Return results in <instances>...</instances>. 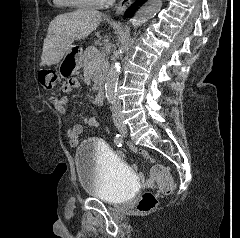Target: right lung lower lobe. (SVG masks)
Returning <instances> with one entry per match:
<instances>
[{
    "mask_svg": "<svg viewBox=\"0 0 240 238\" xmlns=\"http://www.w3.org/2000/svg\"><path fill=\"white\" fill-rule=\"evenodd\" d=\"M136 5H137V3H135L134 5H132V6L126 11L125 15H126L127 17H132V15H133V13H134V11H135V9H136Z\"/></svg>",
    "mask_w": 240,
    "mask_h": 238,
    "instance_id": "obj_1",
    "label": "right lung lower lobe"
}]
</instances>
